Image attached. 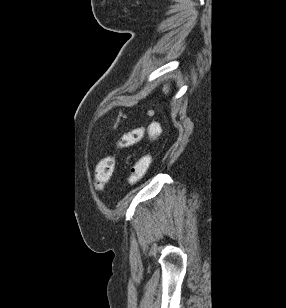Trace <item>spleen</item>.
Returning <instances> with one entry per match:
<instances>
[{
  "label": "spleen",
  "instance_id": "1",
  "mask_svg": "<svg viewBox=\"0 0 286 308\" xmlns=\"http://www.w3.org/2000/svg\"><path fill=\"white\" fill-rule=\"evenodd\" d=\"M163 91H164L165 94H167L169 92V86L165 85L164 88H163Z\"/></svg>",
  "mask_w": 286,
  "mask_h": 308
}]
</instances>
